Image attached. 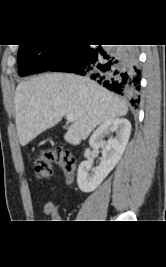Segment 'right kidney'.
<instances>
[{"label":"right kidney","mask_w":166,"mask_h":267,"mask_svg":"<svg viewBox=\"0 0 166 267\" xmlns=\"http://www.w3.org/2000/svg\"><path fill=\"white\" fill-rule=\"evenodd\" d=\"M109 132H115L116 136L105 143L103 138ZM130 133L131 123L125 118L106 120L94 131L89 139V145L95 150L103 149L102 159L96 168L92 167L93 161L90 159L80 163L77 171V183L82 192L95 190L116 166L125 151ZM89 153L90 149H86L84 156L87 158Z\"/></svg>","instance_id":"ca27d5eb"}]
</instances>
